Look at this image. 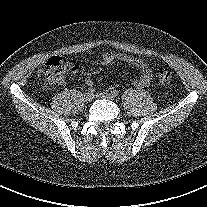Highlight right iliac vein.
<instances>
[{
    "label": "right iliac vein",
    "mask_w": 207,
    "mask_h": 207,
    "mask_svg": "<svg viewBox=\"0 0 207 207\" xmlns=\"http://www.w3.org/2000/svg\"><path fill=\"white\" fill-rule=\"evenodd\" d=\"M83 99H84V101L87 102V103H88V102H91L92 99H93V94L87 92V93L84 94Z\"/></svg>",
    "instance_id": "right-iliac-vein-1"
}]
</instances>
